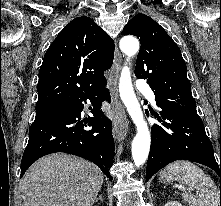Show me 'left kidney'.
<instances>
[{
	"label": "left kidney",
	"instance_id": "left-kidney-1",
	"mask_svg": "<svg viewBox=\"0 0 221 206\" xmlns=\"http://www.w3.org/2000/svg\"><path fill=\"white\" fill-rule=\"evenodd\" d=\"M165 206H183V205L177 201H169L165 204Z\"/></svg>",
	"mask_w": 221,
	"mask_h": 206
}]
</instances>
